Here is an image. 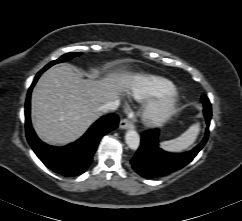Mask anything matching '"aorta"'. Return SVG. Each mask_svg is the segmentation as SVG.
Masks as SVG:
<instances>
[{
  "label": "aorta",
  "mask_w": 242,
  "mask_h": 221,
  "mask_svg": "<svg viewBox=\"0 0 242 221\" xmlns=\"http://www.w3.org/2000/svg\"><path fill=\"white\" fill-rule=\"evenodd\" d=\"M125 142L130 149L136 150L140 145L139 134L135 130H128L125 134Z\"/></svg>",
  "instance_id": "762f6f07"
}]
</instances>
